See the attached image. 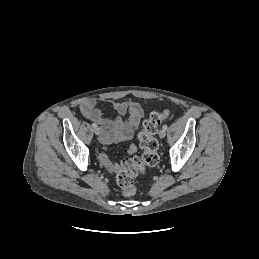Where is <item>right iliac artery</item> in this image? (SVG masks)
Returning <instances> with one entry per match:
<instances>
[{
	"mask_svg": "<svg viewBox=\"0 0 259 259\" xmlns=\"http://www.w3.org/2000/svg\"><path fill=\"white\" fill-rule=\"evenodd\" d=\"M92 127H97V124L96 123H92Z\"/></svg>",
	"mask_w": 259,
	"mask_h": 259,
	"instance_id": "obj_1",
	"label": "right iliac artery"
}]
</instances>
